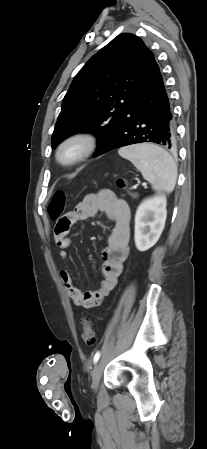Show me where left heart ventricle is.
<instances>
[{
  "label": "left heart ventricle",
  "instance_id": "b2bd125f",
  "mask_svg": "<svg viewBox=\"0 0 207 449\" xmlns=\"http://www.w3.org/2000/svg\"><path fill=\"white\" fill-rule=\"evenodd\" d=\"M76 152H77V148H76V147L68 148V149H66V150L64 151L62 157H63L64 159H68V158L72 157L73 155H75Z\"/></svg>",
  "mask_w": 207,
  "mask_h": 449
}]
</instances>
